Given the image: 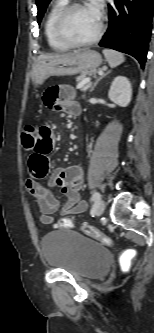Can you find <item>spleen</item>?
Masks as SVG:
<instances>
[{"instance_id":"3e777b00","label":"spleen","mask_w":154,"mask_h":333,"mask_svg":"<svg viewBox=\"0 0 154 333\" xmlns=\"http://www.w3.org/2000/svg\"><path fill=\"white\" fill-rule=\"evenodd\" d=\"M103 54L111 68H115L125 61V57L122 53L112 49H104Z\"/></svg>"}]
</instances>
